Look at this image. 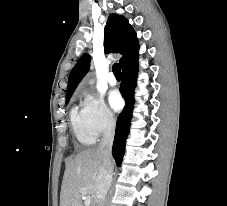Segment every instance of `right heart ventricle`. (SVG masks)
Returning a JSON list of instances; mask_svg holds the SVG:
<instances>
[{"instance_id": "right-heart-ventricle-1", "label": "right heart ventricle", "mask_w": 227, "mask_h": 206, "mask_svg": "<svg viewBox=\"0 0 227 206\" xmlns=\"http://www.w3.org/2000/svg\"><path fill=\"white\" fill-rule=\"evenodd\" d=\"M72 128L74 134L82 145H91L95 141V137L88 130L82 111H78L77 108H73L70 114Z\"/></svg>"}]
</instances>
